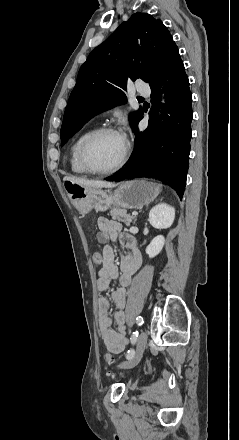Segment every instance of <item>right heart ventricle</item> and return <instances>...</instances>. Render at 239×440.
Wrapping results in <instances>:
<instances>
[{
	"instance_id": "1",
	"label": "right heart ventricle",
	"mask_w": 239,
	"mask_h": 440,
	"mask_svg": "<svg viewBox=\"0 0 239 440\" xmlns=\"http://www.w3.org/2000/svg\"><path fill=\"white\" fill-rule=\"evenodd\" d=\"M93 131V128H88L80 132L73 140L69 150V165L72 172L75 174L86 175L88 174L80 164L79 161V148L83 140Z\"/></svg>"
}]
</instances>
